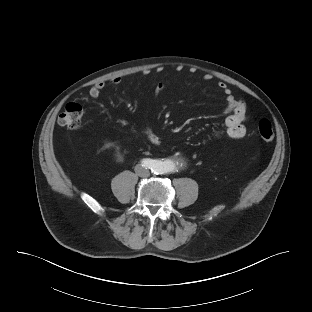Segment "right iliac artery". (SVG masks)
I'll return each mask as SVG.
<instances>
[{
    "label": "right iliac artery",
    "mask_w": 312,
    "mask_h": 312,
    "mask_svg": "<svg viewBox=\"0 0 312 312\" xmlns=\"http://www.w3.org/2000/svg\"><path fill=\"white\" fill-rule=\"evenodd\" d=\"M141 163L143 167L150 168L153 164V161L149 159H143Z\"/></svg>",
    "instance_id": "82829eb1"
}]
</instances>
